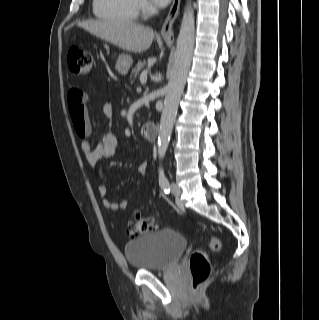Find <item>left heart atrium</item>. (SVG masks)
I'll list each match as a JSON object with an SVG mask.
<instances>
[{
  "label": "left heart atrium",
  "instance_id": "left-heart-atrium-1",
  "mask_svg": "<svg viewBox=\"0 0 319 320\" xmlns=\"http://www.w3.org/2000/svg\"><path fill=\"white\" fill-rule=\"evenodd\" d=\"M153 2L158 6H166L170 0H153Z\"/></svg>",
  "mask_w": 319,
  "mask_h": 320
}]
</instances>
